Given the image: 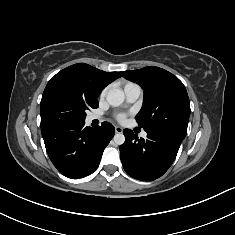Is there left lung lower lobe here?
Wrapping results in <instances>:
<instances>
[{"label":"left lung lower lobe","instance_id":"obj_1","mask_svg":"<svg viewBox=\"0 0 235 235\" xmlns=\"http://www.w3.org/2000/svg\"><path fill=\"white\" fill-rule=\"evenodd\" d=\"M146 132L147 139H138L131 130L125 129L120 158L128 175L138 180L152 181L169 169L183 139L165 132Z\"/></svg>","mask_w":235,"mask_h":235}]
</instances>
